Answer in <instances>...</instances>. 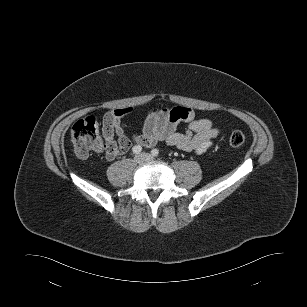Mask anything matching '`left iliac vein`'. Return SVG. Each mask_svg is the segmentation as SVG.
<instances>
[{
  "label": "left iliac vein",
  "instance_id": "4c4485c4",
  "mask_svg": "<svg viewBox=\"0 0 307 307\" xmlns=\"http://www.w3.org/2000/svg\"><path fill=\"white\" fill-rule=\"evenodd\" d=\"M142 155H143V157H144V159H145L146 161H151V160H153V156H152L151 154H149V153H143Z\"/></svg>",
  "mask_w": 307,
  "mask_h": 307
}]
</instances>
